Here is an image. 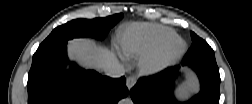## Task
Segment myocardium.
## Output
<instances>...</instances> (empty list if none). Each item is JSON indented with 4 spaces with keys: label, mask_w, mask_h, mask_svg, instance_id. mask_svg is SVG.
<instances>
[{
    "label": "myocardium",
    "mask_w": 252,
    "mask_h": 104,
    "mask_svg": "<svg viewBox=\"0 0 252 104\" xmlns=\"http://www.w3.org/2000/svg\"><path fill=\"white\" fill-rule=\"evenodd\" d=\"M177 42H180V45L174 48ZM185 50L186 43L182 38L175 35L140 58V72L143 74H153L169 63L179 59L185 53Z\"/></svg>",
    "instance_id": "1"
}]
</instances>
